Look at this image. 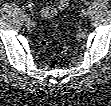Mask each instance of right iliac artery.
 <instances>
[{
  "instance_id": "1",
  "label": "right iliac artery",
  "mask_w": 111,
  "mask_h": 106,
  "mask_svg": "<svg viewBox=\"0 0 111 106\" xmlns=\"http://www.w3.org/2000/svg\"><path fill=\"white\" fill-rule=\"evenodd\" d=\"M23 17L24 19H30V14L28 12H24Z\"/></svg>"
}]
</instances>
